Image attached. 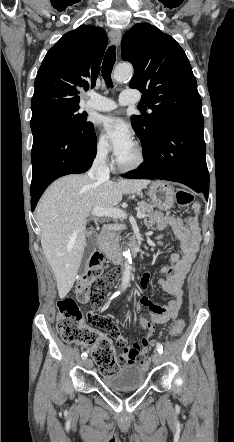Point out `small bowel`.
Masks as SVG:
<instances>
[{
    "instance_id": "obj_1",
    "label": "small bowel",
    "mask_w": 234,
    "mask_h": 442,
    "mask_svg": "<svg viewBox=\"0 0 234 442\" xmlns=\"http://www.w3.org/2000/svg\"><path fill=\"white\" fill-rule=\"evenodd\" d=\"M195 212V219L191 222L189 227H186L181 218L176 216H164L159 212L150 214L146 220L147 227L155 226L158 230H163L170 227L180 241L181 253H174L170 257V265H164L160 268V272L165 275V278L158 280L161 289L173 299L167 304L159 306L158 311L152 310L150 316L153 322L157 324L166 323L177 318L182 305V287L187 273L195 261L200 243V233L197 223V216L199 213V205L193 206ZM149 282V273L145 272L140 279V289L144 291ZM149 299L142 297L135 306L139 310L143 306H147ZM101 310V308H98ZM90 328H101L102 331H107L108 336L115 337L114 341L123 349L121 355V362L125 369L136 370L143 365L145 353L149 345V339L154 334L155 324L146 320L145 316H139L140 325L147 329V336L144 337L140 343L128 345L123 337L122 332L119 331L114 319H111L108 314H89L87 317Z\"/></svg>"
}]
</instances>
